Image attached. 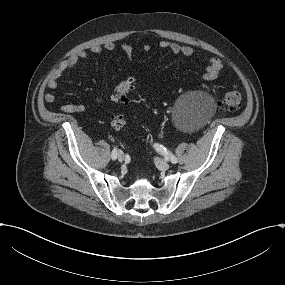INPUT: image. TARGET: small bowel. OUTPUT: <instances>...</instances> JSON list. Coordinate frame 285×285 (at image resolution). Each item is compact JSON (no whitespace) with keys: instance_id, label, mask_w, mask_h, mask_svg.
<instances>
[{"instance_id":"obj_1","label":"small bowel","mask_w":285,"mask_h":285,"mask_svg":"<svg viewBox=\"0 0 285 285\" xmlns=\"http://www.w3.org/2000/svg\"><path fill=\"white\" fill-rule=\"evenodd\" d=\"M159 47L161 49H166L172 52L175 55L178 56H184L186 58H192L194 55V50L189 46H182L177 43L168 42V41H161L159 43ZM123 53L127 56V58L131 59L133 55V49L132 46L128 43H123L120 46ZM117 50V45L112 42L108 41L104 44H93L88 48V50H82L78 51L72 55H70L68 58L63 60L56 69H54L51 74L48 77L47 80V87L50 90H56L59 85V80L62 77V75L69 70L74 69L77 64L80 61H83L87 58L88 52L93 54H101L104 51L107 52H115ZM143 50L145 52H148L150 50L149 45H145L143 47ZM224 65L221 59L218 57H212L209 59L207 67L202 75V79L204 81H212L216 78H218L222 71H223ZM44 99L48 103H57L56 97L52 93H46L44 95ZM98 104H103V99H97ZM60 108L63 112L66 113H81L85 110V106L80 103H62L60 105Z\"/></svg>"}]
</instances>
